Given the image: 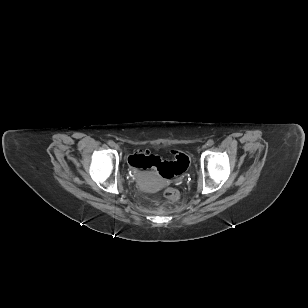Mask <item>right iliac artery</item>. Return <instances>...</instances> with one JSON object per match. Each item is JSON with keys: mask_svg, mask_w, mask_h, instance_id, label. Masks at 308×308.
Returning <instances> with one entry per match:
<instances>
[{"mask_svg": "<svg viewBox=\"0 0 308 308\" xmlns=\"http://www.w3.org/2000/svg\"><path fill=\"white\" fill-rule=\"evenodd\" d=\"M108 144L112 147L115 143L113 141H108Z\"/></svg>", "mask_w": 308, "mask_h": 308, "instance_id": "obj_1", "label": "right iliac artery"}]
</instances>
